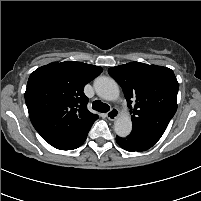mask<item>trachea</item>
Masks as SVG:
<instances>
[{
    "label": "trachea",
    "instance_id": "3493384b",
    "mask_svg": "<svg viewBox=\"0 0 201 201\" xmlns=\"http://www.w3.org/2000/svg\"><path fill=\"white\" fill-rule=\"evenodd\" d=\"M92 108L98 112H108L110 107L108 104L101 102L100 100H96L92 104Z\"/></svg>",
    "mask_w": 201,
    "mask_h": 201
}]
</instances>
